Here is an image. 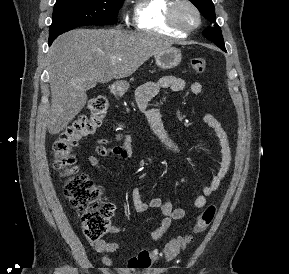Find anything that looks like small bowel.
<instances>
[{"instance_id":"1","label":"small bowel","mask_w":289,"mask_h":274,"mask_svg":"<svg viewBox=\"0 0 289 274\" xmlns=\"http://www.w3.org/2000/svg\"><path fill=\"white\" fill-rule=\"evenodd\" d=\"M184 88L185 81L183 79L174 76H165L157 81L147 82L142 85L138 89L136 98L139 110L146 115L161 146L168 153L177 157L184 154V148L175 142L167 133L162 122L160 110L156 107L147 108V106L148 103L163 89L178 92ZM190 90L194 95H202L203 85L200 82H194L191 84ZM202 121L206 126L213 130L218 140L220 160L215 175L208 184L202 187L200 193L193 199L192 205L195 208H203L206 205L207 197L219 188L232 161V152L228 136L220 121L211 114L204 115ZM115 139L117 141L123 140V144L109 147L106 146V140L99 139L98 144L95 147L96 154L101 157L116 155L122 159H129L132 155L131 135L118 133ZM87 162L95 169H98L100 166L99 159L95 155L89 156ZM132 202L134 208L139 212H144L149 208H155L162 214L160 225L151 233V239L153 241L161 239L170 228L173 221L181 220L186 216V210L184 208H174L171 202L162 198L154 197L148 201H143L140 197V189L138 187H135L132 191ZM119 231L120 229L117 227L111 229L112 233H118ZM119 248L120 245L114 241L99 240L94 244L96 253L102 257L103 263L108 266L112 264L109 255L117 252Z\"/></svg>"}]
</instances>
